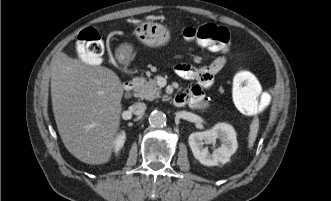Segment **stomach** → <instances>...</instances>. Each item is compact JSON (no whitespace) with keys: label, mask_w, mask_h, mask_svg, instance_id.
I'll list each match as a JSON object with an SVG mask.
<instances>
[{"label":"stomach","mask_w":331,"mask_h":201,"mask_svg":"<svg viewBox=\"0 0 331 201\" xmlns=\"http://www.w3.org/2000/svg\"><path fill=\"white\" fill-rule=\"evenodd\" d=\"M134 35L143 44L149 47H161L166 45L170 40V32L163 25L152 22L143 21L134 29ZM133 52V47L125 43L118 49L117 55L122 63H127Z\"/></svg>","instance_id":"obj_1"}]
</instances>
